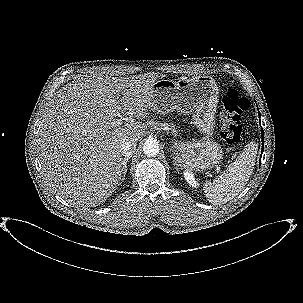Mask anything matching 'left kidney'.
I'll return each instance as SVG.
<instances>
[{"label":"left kidney","mask_w":303,"mask_h":303,"mask_svg":"<svg viewBox=\"0 0 303 303\" xmlns=\"http://www.w3.org/2000/svg\"><path fill=\"white\" fill-rule=\"evenodd\" d=\"M185 179L192 187L198 186V182L195 180L193 174L188 173V172L185 173Z\"/></svg>","instance_id":"1"}]
</instances>
